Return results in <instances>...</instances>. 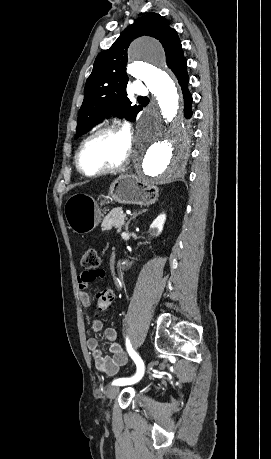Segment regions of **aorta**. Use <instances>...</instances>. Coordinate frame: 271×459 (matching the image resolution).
Returning a JSON list of instances; mask_svg holds the SVG:
<instances>
[{"label":"aorta","instance_id":"1","mask_svg":"<svg viewBox=\"0 0 271 459\" xmlns=\"http://www.w3.org/2000/svg\"><path fill=\"white\" fill-rule=\"evenodd\" d=\"M128 56L133 61L128 72L140 78L153 95L138 125L133 165L144 180L166 182L183 171L190 151L189 132L180 117L177 81L155 39H136Z\"/></svg>","mask_w":271,"mask_h":459}]
</instances>
